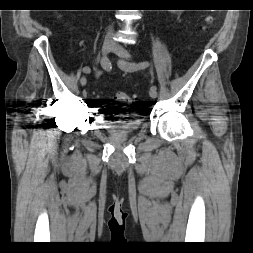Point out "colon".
<instances>
[{
  "label": "colon",
  "mask_w": 253,
  "mask_h": 253,
  "mask_svg": "<svg viewBox=\"0 0 253 253\" xmlns=\"http://www.w3.org/2000/svg\"><path fill=\"white\" fill-rule=\"evenodd\" d=\"M114 99L118 102L121 103H126V104H130L133 102L134 97L130 96L129 94L125 93V92H117L114 95Z\"/></svg>",
  "instance_id": "5ec220e1"
}]
</instances>
